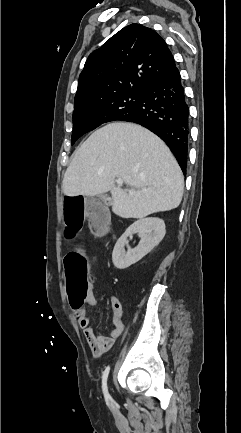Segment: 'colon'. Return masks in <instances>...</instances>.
<instances>
[{
  "label": "colon",
  "mask_w": 241,
  "mask_h": 433,
  "mask_svg": "<svg viewBox=\"0 0 241 433\" xmlns=\"http://www.w3.org/2000/svg\"><path fill=\"white\" fill-rule=\"evenodd\" d=\"M66 201L63 218L66 221V239H79L77 229L84 228L85 214H91V227L100 234L106 227V214L110 213V206L103 205L102 200H84L72 198L70 192L64 193ZM61 267H64L66 289L69 293V304L73 312H82L83 303L91 293L88 279V261L81 251L70 252L66 258H61Z\"/></svg>",
  "instance_id": "1"
}]
</instances>
